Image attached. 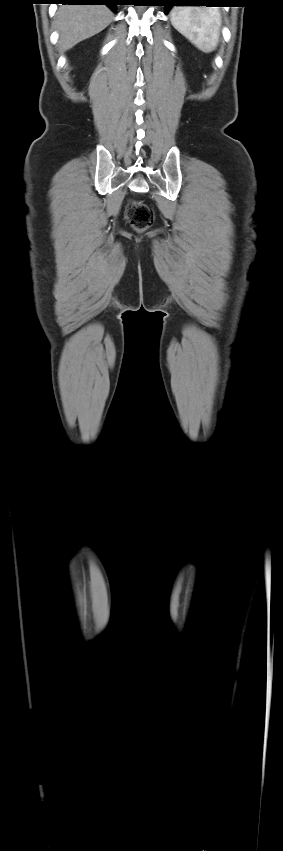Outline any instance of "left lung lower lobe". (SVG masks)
<instances>
[{
	"mask_svg": "<svg viewBox=\"0 0 283 851\" xmlns=\"http://www.w3.org/2000/svg\"><path fill=\"white\" fill-rule=\"evenodd\" d=\"M224 2L223 0H161L163 6H166L165 13L173 6H217L216 4Z\"/></svg>",
	"mask_w": 283,
	"mask_h": 851,
	"instance_id": "0a47b994",
	"label": "left lung lower lobe"
}]
</instances>
